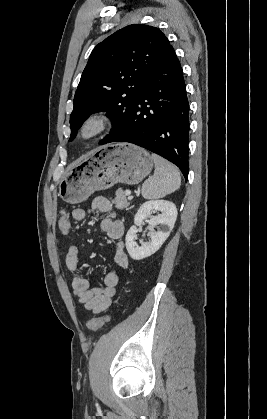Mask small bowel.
Here are the masks:
<instances>
[{
  "instance_id": "small-bowel-1",
  "label": "small bowel",
  "mask_w": 267,
  "mask_h": 419,
  "mask_svg": "<svg viewBox=\"0 0 267 419\" xmlns=\"http://www.w3.org/2000/svg\"><path fill=\"white\" fill-rule=\"evenodd\" d=\"M90 213H103L106 216L101 220L100 226L111 241L115 242L114 262L122 269L129 265L128 256L124 251V244L121 238L124 234V225L117 220L112 211V205L105 197H96L92 200L90 208L75 209L72 211L71 219L79 222ZM65 265L73 274L72 289L84 308L95 314L105 311L111 304L119 284V275L116 271H109L104 276V287H91L89 281L79 274V250L75 245L69 246L65 253Z\"/></svg>"
}]
</instances>
